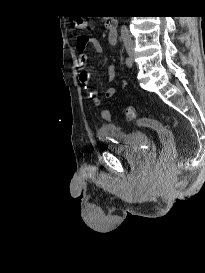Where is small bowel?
I'll return each mask as SVG.
<instances>
[{
    "mask_svg": "<svg viewBox=\"0 0 205 273\" xmlns=\"http://www.w3.org/2000/svg\"><path fill=\"white\" fill-rule=\"evenodd\" d=\"M88 44L92 45L94 50L97 53L102 52V47H101V45H100L97 38L87 37V36H84V35L78 36L76 38L75 50H76V53H77L76 66L79 69L84 68V66L86 65L87 55H86L85 50H86V46ZM114 76H115V69H114L113 66H110L108 68V71H107V78L109 80H112L114 78ZM90 78H91V72L90 71L81 70L79 72V74H78L79 82L81 83L83 88L86 89V90H88V84H89ZM115 94H116V88L110 87V88L107 89V91L105 93V96H106V98H112V97L115 96ZM88 95H89V98H90L93 106H95V107L101 106L102 99L99 96L97 91L88 90ZM107 112H108L109 116H106L105 110H104L102 112V117H103V119H105L107 121H111L112 115H111L110 111L107 110Z\"/></svg>",
    "mask_w": 205,
    "mask_h": 273,
    "instance_id": "c3829d8e",
    "label": "small bowel"
}]
</instances>
